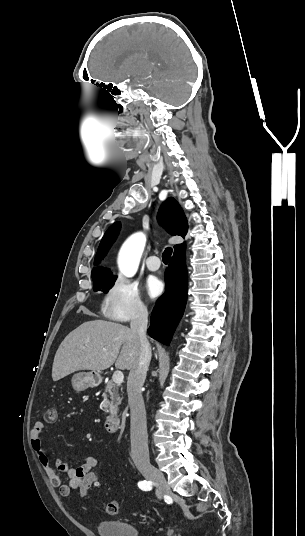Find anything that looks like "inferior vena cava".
<instances>
[{"label":"inferior vena cava","mask_w":305,"mask_h":536,"mask_svg":"<svg viewBox=\"0 0 305 536\" xmlns=\"http://www.w3.org/2000/svg\"><path fill=\"white\" fill-rule=\"evenodd\" d=\"M147 324V308L137 306L135 314L131 318L130 328L140 344V356L137 366L129 372L127 394L131 412V456L138 458V460H149L146 410L141 394L151 360V348L146 338Z\"/></svg>","instance_id":"602c4592"}]
</instances>
